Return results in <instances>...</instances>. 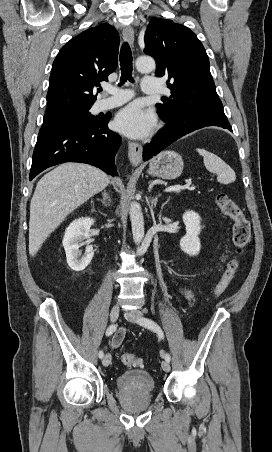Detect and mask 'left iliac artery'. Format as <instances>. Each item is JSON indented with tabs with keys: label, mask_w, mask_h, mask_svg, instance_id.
<instances>
[{
	"label": "left iliac artery",
	"mask_w": 272,
	"mask_h": 452,
	"mask_svg": "<svg viewBox=\"0 0 272 452\" xmlns=\"http://www.w3.org/2000/svg\"><path fill=\"white\" fill-rule=\"evenodd\" d=\"M138 322H139L140 325L145 326L146 328H148V329H150L152 331H155L161 339L164 338L163 331L158 326V324L155 323L153 320L148 319V318H140L138 320ZM164 358L168 362H170V360H171V357H170V355L168 353L165 354Z\"/></svg>",
	"instance_id": "1"
}]
</instances>
